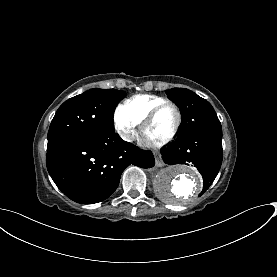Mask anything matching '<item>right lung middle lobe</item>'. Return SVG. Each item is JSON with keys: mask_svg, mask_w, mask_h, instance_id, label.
I'll use <instances>...</instances> for the list:
<instances>
[{"mask_svg": "<svg viewBox=\"0 0 277 277\" xmlns=\"http://www.w3.org/2000/svg\"><path fill=\"white\" fill-rule=\"evenodd\" d=\"M125 96L124 91L94 88L68 99L50 124L48 144L73 136L114 132V110Z\"/></svg>", "mask_w": 277, "mask_h": 277, "instance_id": "obj_1", "label": "right lung middle lobe"}]
</instances>
